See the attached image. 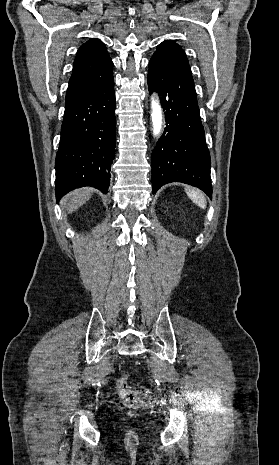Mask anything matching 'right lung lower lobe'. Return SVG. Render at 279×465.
I'll list each match as a JSON object with an SVG mask.
<instances>
[{"label": "right lung lower lobe", "mask_w": 279, "mask_h": 465, "mask_svg": "<svg viewBox=\"0 0 279 465\" xmlns=\"http://www.w3.org/2000/svg\"><path fill=\"white\" fill-rule=\"evenodd\" d=\"M113 75L88 96L65 108L56 155V199L69 191L92 186L104 194L116 146Z\"/></svg>", "instance_id": "right-lung-lower-lobe-1"}]
</instances>
